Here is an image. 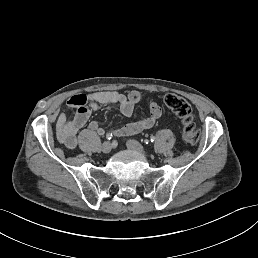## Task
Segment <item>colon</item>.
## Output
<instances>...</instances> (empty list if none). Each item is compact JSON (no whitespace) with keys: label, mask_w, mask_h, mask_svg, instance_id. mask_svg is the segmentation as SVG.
<instances>
[{"label":"colon","mask_w":258,"mask_h":258,"mask_svg":"<svg viewBox=\"0 0 258 258\" xmlns=\"http://www.w3.org/2000/svg\"><path fill=\"white\" fill-rule=\"evenodd\" d=\"M164 104L174 112L182 122V138L189 144L195 145L200 139V130L192 118V110L189 103L176 94H166Z\"/></svg>","instance_id":"5ec220e1"}]
</instances>
